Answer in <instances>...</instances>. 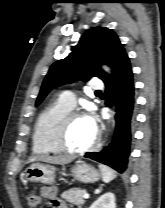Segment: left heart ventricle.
Listing matches in <instances>:
<instances>
[{
  "mask_svg": "<svg viewBox=\"0 0 165 208\" xmlns=\"http://www.w3.org/2000/svg\"><path fill=\"white\" fill-rule=\"evenodd\" d=\"M96 132L87 117L75 118L66 131L64 142L71 149H83L94 140Z\"/></svg>",
  "mask_w": 165,
  "mask_h": 208,
  "instance_id": "left-heart-ventricle-1",
  "label": "left heart ventricle"
}]
</instances>
